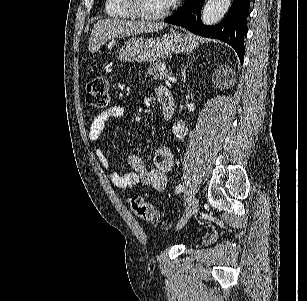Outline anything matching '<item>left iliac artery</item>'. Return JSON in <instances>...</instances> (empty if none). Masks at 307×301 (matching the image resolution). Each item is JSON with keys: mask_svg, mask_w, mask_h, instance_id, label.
Instances as JSON below:
<instances>
[{"mask_svg": "<svg viewBox=\"0 0 307 301\" xmlns=\"http://www.w3.org/2000/svg\"><path fill=\"white\" fill-rule=\"evenodd\" d=\"M183 189H184V186L182 184H179L178 186H176V188H175L176 194L181 193L183 191Z\"/></svg>", "mask_w": 307, "mask_h": 301, "instance_id": "44dca946", "label": "left iliac artery"}]
</instances>
